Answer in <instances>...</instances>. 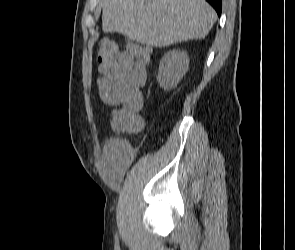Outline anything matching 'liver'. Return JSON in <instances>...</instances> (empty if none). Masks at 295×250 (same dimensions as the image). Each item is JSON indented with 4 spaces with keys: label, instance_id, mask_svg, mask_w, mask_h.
<instances>
[{
    "label": "liver",
    "instance_id": "liver-1",
    "mask_svg": "<svg viewBox=\"0 0 295 250\" xmlns=\"http://www.w3.org/2000/svg\"><path fill=\"white\" fill-rule=\"evenodd\" d=\"M216 19L205 0H103L105 33L152 47L204 39Z\"/></svg>",
    "mask_w": 295,
    "mask_h": 250
}]
</instances>
